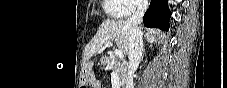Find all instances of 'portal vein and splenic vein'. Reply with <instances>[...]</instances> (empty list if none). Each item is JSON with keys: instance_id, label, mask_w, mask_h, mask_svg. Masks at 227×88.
Instances as JSON below:
<instances>
[{"instance_id": "1", "label": "portal vein and splenic vein", "mask_w": 227, "mask_h": 88, "mask_svg": "<svg viewBox=\"0 0 227 88\" xmlns=\"http://www.w3.org/2000/svg\"><path fill=\"white\" fill-rule=\"evenodd\" d=\"M111 46H113V43L112 42H107L106 44H105V47H111ZM114 54H115V56H117L119 59H123L124 58V54H123V52L121 51V50H115L114 51Z\"/></svg>"}]
</instances>
